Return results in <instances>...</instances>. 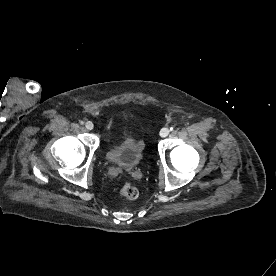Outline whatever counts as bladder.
<instances>
[{"instance_id": "obj_1", "label": "bladder", "mask_w": 276, "mask_h": 276, "mask_svg": "<svg viewBox=\"0 0 276 276\" xmlns=\"http://www.w3.org/2000/svg\"><path fill=\"white\" fill-rule=\"evenodd\" d=\"M144 145L130 135H124L106 154L107 159L121 167L134 168L142 160Z\"/></svg>"}]
</instances>
